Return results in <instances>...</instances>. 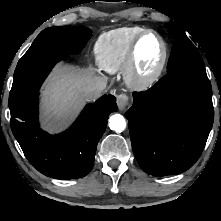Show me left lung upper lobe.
<instances>
[{
  "mask_svg": "<svg viewBox=\"0 0 221 221\" xmlns=\"http://www.w3.org/2000/svg\"><path fill=\"white\" fill-rule=\"evenodd\" d=\"M168 32L174 38V43L168 61L167 73L189 72L207 76L199 51L185 32L175 23L170 25Z\"/></svg>",
  "mask_w": 221,
  "mask_h": 221,
  "instance_id": "obj_1",
  "label": "left lung upper lobe"
}]
</instances>
